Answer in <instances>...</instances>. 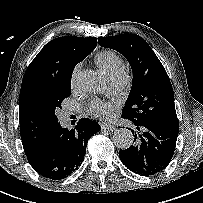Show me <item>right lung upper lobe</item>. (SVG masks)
I'll list each match as a JSON object with an SVG mask.
<instances>
[{
	"instance_id": "cb5924a9",
	"label": "right lung upper lobe",
	"mask_w": 203,
	"mask_h": 203,
	"mask_svg": "<svg viewBox=\"0 0 203 203\" xmlns=\"http://www.w3.org/2000/svg\"><path fill=\"white\" fill-rule=\"evenodd\" d=\"M96 38L75 36L51 40L28 66L19 95L20 134L24 151L45 141L58 123L46 114L43 95L52 87L71 82L77 63L96 47Z\"/></svg>"
}]
</instances>
